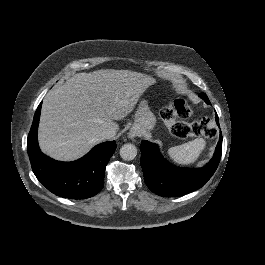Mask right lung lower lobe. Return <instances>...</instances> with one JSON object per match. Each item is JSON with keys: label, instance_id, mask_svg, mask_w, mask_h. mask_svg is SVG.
Segmentation results:
<instances>
[{"label": "right lung lower lobe", "instance_id": "right-lung-lower-lobe-1", "mask_svg": "<svg viewBox=\"0 0 265 265\" xmlns=\"http://www.w3.org/2000/svg\"><path fill=\"white\" fill-rule=\"evenodd\" d=\"M41 104L35 112L27 139L28 156L35 176L50 192L63 198L86 199L96 195L104 186L105 167L116 149V142L101 143L73 162L51 159L38 146Z\"/></svg>", "mask_w": 265, "mask_h": 265}]
</instances>
